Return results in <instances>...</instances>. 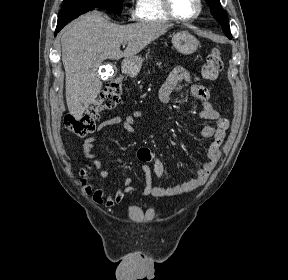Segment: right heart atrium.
Masks as SVG:
<instances>
[{
	"label": "right heart atrium",
	"mask_w": 288,
	"mask_h": 280,
	"mask_svg": "<svg viewBox=\"0 0 288 280\" xmlns=\"http://www.w3.org/2000/svg\"><path fill=\"white\" fill-rule=\"evenodd\" d=\"M128 12H129V14L131 15V16H135V12H136V9L135 8H133V7H129L128 8Z\"/></svg>",
	"instance_id": "obj_1"
}]
</instances>
